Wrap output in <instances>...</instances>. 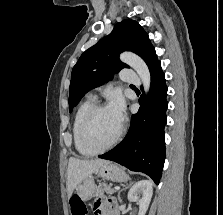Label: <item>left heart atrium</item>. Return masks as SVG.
<instances>
[{"instance_id": "obj_1", "label": "left heart atrium", "mask_w": 223, "mask_h": 215, "mask_svg": "<svg viewBox=\"0 0 223 215\" xmlns=\"http://www.w3.org/2000/svg\"><path fill=\"white\" fill-rule=\"evenodd\" d=\"M108 110L117 118L121 123L124 118V100L119 94H114L108 105Z\"/></svg>"}]
</instances>
